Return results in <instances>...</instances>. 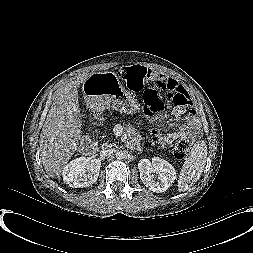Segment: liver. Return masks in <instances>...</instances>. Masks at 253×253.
<instances>
[{
	"label": "liver",
	"mask_w": 253,
	"mask_h": 253,
	"mask_svg": "<svg viewBox=\"0 0 253 253\" xmlns=\"http://www.w3.org/2000/svg\"><path fill=\"white\" fill-rule=\"evenodd\" d=\"M90 75H81L59 87L40 134V157L45 172L60 178L81 139L78 88Z\"/></svg>",
	"instance_id": "1"
}]
</instances>
